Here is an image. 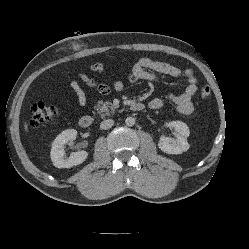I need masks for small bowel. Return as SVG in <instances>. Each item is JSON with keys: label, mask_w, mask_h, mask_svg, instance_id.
<instances>
[{"label": "small bowel", "mask_w": 249, "mask_h": 249, "mask_svg": "<svg viewBox=\"0 0 249 249\" xmlns=\"http://www.w3.org/2000/svg\"><path fill=\"white\" fill-rule=\"evenodd\" d=\"M90 69L99 75L105 72V67L101 62L93 63L90 66ZM119 70L123 73H126L128 79L131 82L146 80L160 83L161 81L159 75H167L175 78L177 81H180L183 77H185L188 82L185 90L181 94H176L174 91H170L167 97L178 113L182 115H190L194 111L192 98L198 90V80L194 75L193 70L187 69L183 72L172 64L156 61L146 57L137 60L129 72L124 68H120ZM78 78L87 86L95 89L102 95H109L111 91L120 92L124 88V83L120 80L115 81L110 86L97 82L94 78L83 72L78 74ZM69 85L75 94L77 104L80 107H86L88 103V97L80 83L77 80H71ZM66 103L68 106L72 107L69 102ZM148 107L153 110H158L163 107V100L160 98H153L148 102Z\"/></svg>", "instance_id": "1"}]
</instances>
